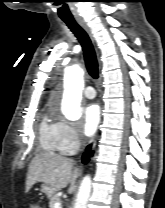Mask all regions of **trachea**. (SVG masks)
<instances>
[{
  "label": "trachea",
  "mask_w": 165,
  "mask_h": 208,
  "mask_svg": "<svg viewBox=\"0 0 165 208\" xmlns=\"http://www.w3.org/2000/svg\"><path fill=\"white\" fill-rule=\"evenodd\" d=\"M63 21L67 24L69 29L75 34V36L81 43L84 53V60L89 75L92 78L97 79L99 76L98 62L94 47L88 34L80 25H78V23L74 19H63Z\"/></svg>",
  "instance_id": "3493384b"
}]
</instances>
